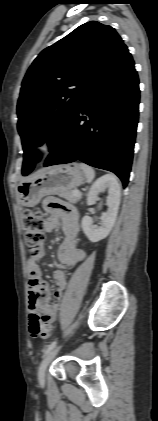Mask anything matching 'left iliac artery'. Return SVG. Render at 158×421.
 <instances>
[{
	"mask_svg": "<svg viewBox=\"0 0 158 421\" xmlns=\"http://www.w3.org/2000/svg\"><path fill=\"white\" fill-rule=\"evenodd\" d=\"M56 341H53L52 343H50L48 346H47V348H46V350H45V352H44V356L46 355V354H48L55 346H56Z\"/></svg>",
	"mask_w": 158,
	"mask_h": 421,
	"instance_id": "obj_1",
	"label": "left iliac artery"
}]
</instances>
